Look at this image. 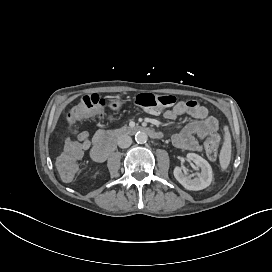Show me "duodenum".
Returning a JSON list of instances; mask_svg holds the SVG:
<instances>
[{"label": "duodenum", "mask_w": 272, "mask_h": 272, "mask_svg": "<svg viewBox=\"0 0 272 272\" xmlns=\"http://www.w3.org/2000/svg\"><path fill=\"white\" fill-rule=\"evenodd\" d=\"M137 132H145L151 138H160L161 133L145 126L126 127L113 131H103L98 143L92 148L90 155L96 162L105 161L113 152L116 140L125 134H135Z\"/></svg>", "instance_id": "duodenum-1"}]
</instances>
